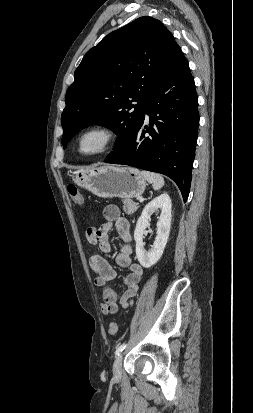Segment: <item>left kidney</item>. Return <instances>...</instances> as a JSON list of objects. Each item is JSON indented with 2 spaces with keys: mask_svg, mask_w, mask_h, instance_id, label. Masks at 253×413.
<instances>
[{
  "mask_svg": "<svg viewBox=\"0 0 253 413\" xmlns=\"http://www.w3.org/2000/svg\"><path fill=\"white\" fill-rule=\"evenodd\" d=\"M171 208L172 204L169 195L163 193L145 206L136 223L134 231L136 256L139 263L144 268H150L152 265L156 264L163 254L170 233ZM158 210H160V217L157 222V236L151 249L146 251L144 249L143 234L151 215Z\"/></svg>",
  "mask_w": 253,
  "mask_h": 413,
  "instance_id": "left-kidney-1",
  "label": "left kidney"
}]
</instances>
